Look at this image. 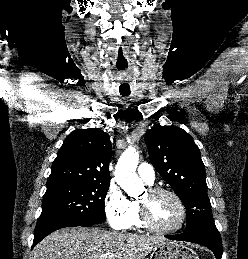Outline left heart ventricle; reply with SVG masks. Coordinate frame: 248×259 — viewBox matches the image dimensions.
<instances>
[{
    "instance_id": "left-heart-ventricle-1",
    "label": "left heart ventricle",
    "mask_w": 248,
    "mask_h": 259,
    "mask_svg": "<svg viewBox=\"0 0 248 259\" xmlns=\"http://www.w3.org/2000/svg\"><path fill=\"white\" fill-rule=\"evenodd\" d=\"M149 205L152 221L163 229L175 227L180 220V209L175 200L165 194L149 196L146 192L140 199Z\"/></svg>"
}]
</instances>
